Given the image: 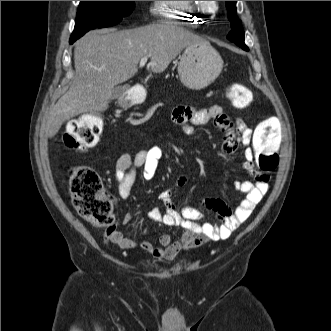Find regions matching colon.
Returning a JSON list of instances; mask_svg holds the SVG:
<instances>
[{
    "mask_svg": "<svg viewBox=\"0 0 331 331\" xmlns=\"http://www.w3.org/2000/svg\"><path fill=\"white\" fill-rule=\"evenodd\" d=\"M227 98L237 108L251 102V94L242 84H231ZM104 121L98 114L89 113L72 120L63 136L68 149L85 150L96 144L103 131ZM283 125L277 117H269L258 124L254 143L259 150L257 165L262 172H272L278 165V149ZM69 192L72 203L80 216L96 227L110 228L114 222L111 200L105 192L97 172L86 166H76L69 171Z\"/></svg>",
    "mask_w": 331,
    "mask_h": 331,
    "instance_id": "1",
    "label": "colon"
}]
</instances>
